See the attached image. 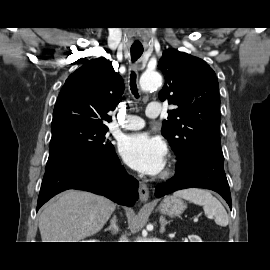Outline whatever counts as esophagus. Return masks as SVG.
Returning a JSON list of instances; mask_svg holds the SVG:
<instances>
[{
  "instance_id": "34e87169",
  "label": "esophagus",
  "mask_w": 270,
  "mask_h": 270,
  "mask_svg": "<svg viewBox=\"0 0 270 270\" xmlns=\"http://www.w3.org/2000/svg\"><path fill=\"white\" fill-rule=\"evenodd\" d=\"M139 199L142 203H146L149 198V190L145 183L140 182L139 183Z\"/></svg>"
}]
</instances>
